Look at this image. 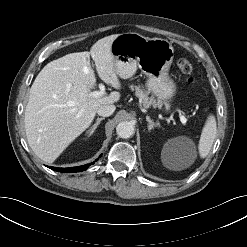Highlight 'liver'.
I'll list each match as a JSON object with an SVG mask.
<instances>
[{
    "mask_svg": "<svg viewBox=\"0 0 247 247\" xmlns=\"http://www.w3.org/2000/svg\"><path fill=\"white\" fill-rule=\"evenodd\" d=\"M117 36L98 40L90 52L70 53L49 62L35 78L25 109V131L29 146L44 162L53 163L91 125L101 105L119 101L117 91L90 96L96 84L90 55L101 80L121 88L111 51Z\"/></svg>",
    "mask_w": 247,
    "mask_h": 247,
    "instance_id": "6515ba94",
    "label": "liver"
}]
</instances>
